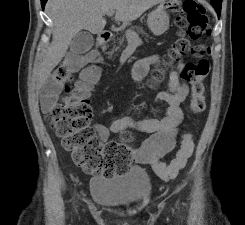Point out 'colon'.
Instances as JSON below:
<instances>
[{
	"label": "colon",
	"instance_id": "colon-1",
	"mask_svg": "<svg viewBox=\"0 0 245 225\" xmlns=\"http://www.w3.org/2000/svg\"><path fill=\"white\" fill-rule=\"evenodd\" d=\"M181 16L176 19L179 38L174 42L170 52L159 62L152 72V86L159 85L168 67L177 59L192 52L196 60L188 64L182 74L183 79L192 85L190 108L199 113L205 106L203 79L209 71V62L203 58L207 47L199 45L192 49L186 38L188 34L194 40L206 38L209 28L205 12L194 0H185L177 7ZM87 54H76L64 61L56 73L46 81L49 93H59L60 98L52 107L50 115L55 123V132L62 145L71 151L73 161L89 173L113 176L125 173L130 163L131 148L134 137L131 131L122 132L123 142L109 141L102 146L91 127L92 109L88 104V88L84 83L91 73L83 74V81L71 85L70 81L80 61ZM96 60L97 55L88 56ZM193 142L189 135L182 138L181 146L169 163L157 162L154 169L165 179H173L191 157Z\"/></svg>",
	"mask_w": 245,
	"mask_h": 225
}]
</instances>
